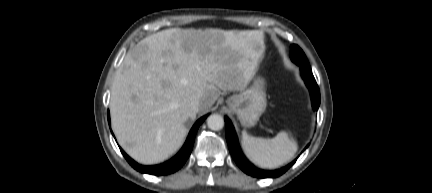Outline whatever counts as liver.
I'll use <instances>...</instances> for the list:
<instances>
[{
    "instance_id": "obj_1",
    "label": "liver",
    "mask_w": 432,
    "mask_h": 193,
    "mask_svg": "<svg viewBox=\"0 0 432 193\" xmlns=\"http://www.w3.org/2000/svg\"><path fill=\"white\" fill-rule=\"evenodd\" d=\"M265 52L258 30L171 28L130 49L111 88L114 134L141 164H157L183 144L196 114L222 91L244 90ZM200 100L198 112L190 103Z\"/></svg>"
}]
</instances>
